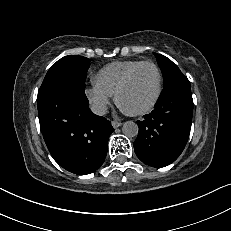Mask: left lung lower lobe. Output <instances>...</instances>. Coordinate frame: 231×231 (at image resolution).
Segmentation results:
<instances>
[{
    "label": "left lung lower lobe",
    "mask_w": 231,
    "mask_h": 231,
    "mask_svg": "<svg viewBox=\"0 0 231 231\" xmlns=\"http://www.w3.org/2000/svg\"><path fill=\"white\" fill-rule=\"evenodd\" d=\"M193 99L190 82L184 75L165 87L155 109L137 121L139 133L134 141L137 157L152 167H165L182 153L190 133Z\"/></svg>",
    "instance_id": "obj_1"
}]
</instances>
